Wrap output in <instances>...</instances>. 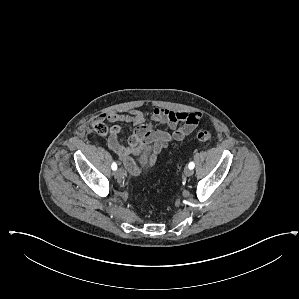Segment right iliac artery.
I'll use <instances>...</instances> for the list:
<instances>
[{
    "label": "right iliac artery",
    "mask_w": 299,
    "mask_h": 299,
    "mask_svg": "<svg viewBox=\"0 0 299 299\" xmlns=\"http://www.w3.org/2000/svg\"><path fill=\"white\" fill-rule=\"evenodd\" d=\"M112 170H116L117 169V164L115 162L112 163L111 165Z\"/></svg>",
    "instance_id": "82829eb1"
}]
</instances>
